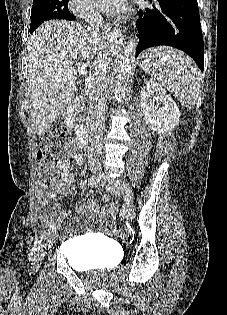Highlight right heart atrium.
<instances>
[{
	"instance_id": "right-heart-atrium-1",
	"label": "right heart atrium",
	"mask_w": 227,
	"mask_h": 315,
	"mask_svg": "<svg viewBox=\"0 0 227 315\" xmlns=\"http://www.w3.org/2000/svg\"><path fill=\"white\" fill-rule=\"evenodd\" d=\"M69 9L74 15L88 22L98 16V11L90 0H69Z\"/></svg>"
}]
</instances>
